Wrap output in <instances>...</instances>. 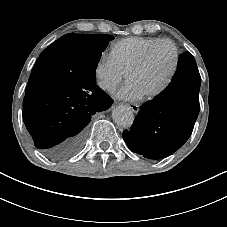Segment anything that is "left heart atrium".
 I'll return each mask as SVG.
<instances>
[{"mask_svg": "<svg viewBox=\"0 0 227 227\" xmlns=\"http://www.w3.org/2000/svg\"><path fill=\"white\" fill-rule=\"evenodd\" d=\"M143 96L144 94L133 83L129 82L123 86L117 94L119 99L125 101H137Z\"/></svg>", "mask_w": 227, "mask_h": 227, "instance_id": "1", "label": "left heart atrium"}]
</instances>
